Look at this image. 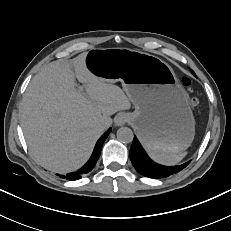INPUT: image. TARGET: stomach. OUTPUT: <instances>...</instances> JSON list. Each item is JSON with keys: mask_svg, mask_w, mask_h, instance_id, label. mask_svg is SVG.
<instances>
[{"mask_svg": "<svg viewBox=\"0 0 231 231\" xmlns=\"http://www.w3.org/2000/svg\"><path fill=\"white\" fill-rule=\"evenodd\" d=\"M85 66L110 83L120 81L135 107L130 124L149 152L179 154L192 143L195 120L188 95L160 58L126 48L93 49Z\"/></svg>", "mask_w": 231, "mask_h": 231, "instance_id": "obj_1", "label": "stomach"}]
</instances>
